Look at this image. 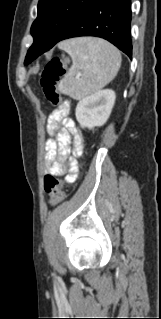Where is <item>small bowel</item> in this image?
<instances>
[{"mask_svg":"<svg viewBox=\"0 0 161 319\" xmlns=\"http://www.w3.org/2000/svg\"><path fill=\"white\" fill-rule=\"evenodd\" d=\"M47 130L52 136L46 141L47 174L62 176L66 182L72 183L78 178V166L76 160H69L68 156L70 152L75 156L82 153L83 138L75 122L64 114L61 108L55 109L49 115ZM62 162H65V167ZM66 170L70 173L66 174Z\"/></svg>","mask_w":161,"mask_h":319,"instance_id":"small-bowel-1","label":"small bowel"}]
</instances>
